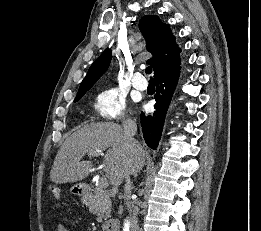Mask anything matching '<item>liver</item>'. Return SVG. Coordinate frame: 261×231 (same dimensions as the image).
<instances>
[{
    "mask_svg": "<svg viewBox=\"0 0 261 231\" xmlns=\"http://www.w3.org/2000/svg\"><path fill=\"white\" fill-rule=\"evenodd\" d=\"M107 153L103 161L106 177L113 186L121 184L127 172L137 174L145 162L141 147L139 157L133 159L123 137V128L114 123H92L74 132L60 147L50 179L55 183H73L86 178L92 168L91 161H82L83 156L95 151Z\"/></svg>",
    "mask_w": 261,
    "mask_h": 231,
    "instance_id": "1",
    "label": "liver"
}]
</instances>
